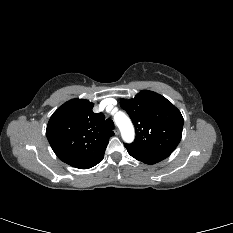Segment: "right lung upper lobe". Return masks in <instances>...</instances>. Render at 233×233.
<instances>
[{"instance_id":"1","label":"right lung upper lobe","mask_w":233,"mask_h":233,"mask_svg":"<svg viewBox=\"0 0 233 233\" xmlns=\"http://www.w3.org/2000/svg\"><path fill=\"white\" fill-rule=\"evenodd\" d=\"M94 104L84 99H72L51 116L46 136L63 162L87 169L104 157L110 136L114 132L104 125L105 116L92 111Z\"/></svg>"}]
</instances>
